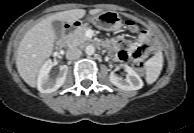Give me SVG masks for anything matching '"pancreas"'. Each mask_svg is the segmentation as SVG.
Here are the masks:
<instances>
[{"instance_id":"cf45deb5","label":"pancreas","mask_w":194,"mask_h":133,"mask_svg":"<svg viewBox=\"0 0 194 133\" xmlns=\"http://www.w3.org/2000/svg\"><path fill=\"white\" fill-rule=\"evenodd\" d=\"M89 28L90 27L87 24H83L73 32L69 33L66 36L67 45L69 47H77L84 46L85 44L89 43L91 39L85 35L86 30H88Z\"/></svg>"}]
</instances>
